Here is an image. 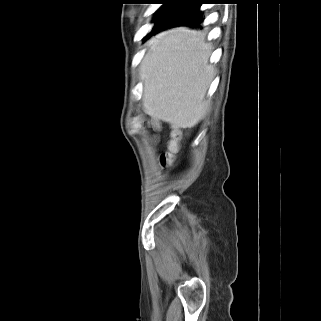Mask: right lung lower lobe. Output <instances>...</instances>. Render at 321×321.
Wrapping results in <instances>:
<instances>
[{
    "label": "right lung lower lobe",
    "mask_w": 321,
    "mask_h": 321,
    "mask_svg": "<svg viewBox=\"0 0 321 321\" xmlns=\"http://www.w3.org/2000/svg\"><path fill=\"white\" fill-rule=\"evenodd\" d=\"M200 4L199 2H194L176 6L161 19L150 35L177 26L199 27L203 21Z\"/></svg>",
    "instance_id": "right-lung-lower-lobe-1"
}]
</instances>
